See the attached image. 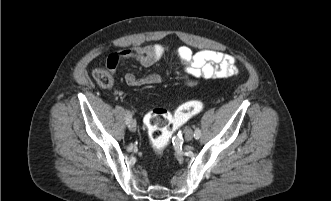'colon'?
Masks as SVG:
<instances>
[{"instance_id": "obj_1", "label": "colon", "mask_w": 331, "mask_h": 201, "mask_svg": "<svg viewBox=\"0 0 331 201\" xmlns=\"http://www.w3.org/2000/svg\"><path fill=\"white\" fill-rule=\"evenodd\" d=\"M94 78L101 87L108 88L112 84V76L107 69L96 70ZM201 109L202 103L194 100L180 106L174 114L162 108L150 111L145 117V126L153 149L162 153L175 130Z\"/></svg>"}]
</instances>
